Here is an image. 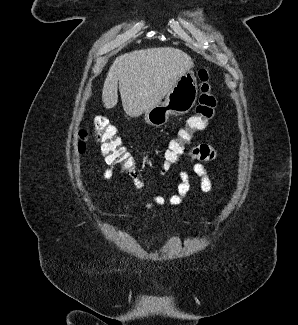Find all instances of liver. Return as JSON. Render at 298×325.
Masks as SVG:
<instances>
[{"label": "liver", "mask_w": 298, "mask_h": 325, "mask_svg": "<svg viewBox=\"0 0 298 325\" xmlns=\"http://www.w3.org/2000/svg\"><path fill=\"white\" fill-rule=\"evenodd\" d=\"M194 66L190 54L175 46L141 48L116 56L102 88L105 108L118 102V88L128 116H140L162 102L178 78Z\"/></svg>", "instance_id": "6515ba94"}]
</instances>
